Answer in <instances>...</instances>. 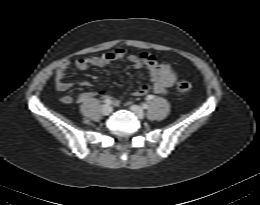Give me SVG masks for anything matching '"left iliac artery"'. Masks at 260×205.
I'll return each instance as SVG.
<instances>
[{"instance_id": "1", "label": "left iliac artery", "mask_w": 260, "mask_h": 205, "mask_svg": "<svg viewBox=\"0 0 260 205\" xmlns=\"http://www.w3.org/2000/svg\"><path fill=\"white\" fill-rule=\"evenodd\" d=\"M152 98V96H149V99H151ZM142 107L144 108V109H147L148 108V105L146 104V103H144V104H142Z\"/></svg>"}]
</instances>
